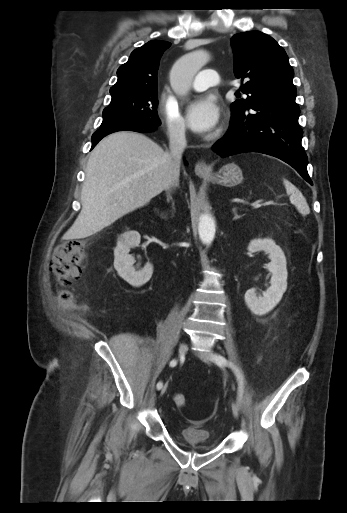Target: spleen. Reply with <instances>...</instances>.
I'll return each instance as SVG.
<instances>
[{
    "mask_svg": "<svg viewBox=\"0 0 347 513\" xmlns=\"http://www.w3.org/2000/svg\"><path fill=\"white\" fill-rule=\"evenodd\" d=\"M283 184L285 186L286 193L289 195L290 202L296 206L297 210L302 215L309 214V206L301 191L286 178H283Z\"/></svg>",
    "mask_w": 347,
    "mask_h": 513,
    "instance_id": "1",
    "label": "spleen"
}]
</instances>
